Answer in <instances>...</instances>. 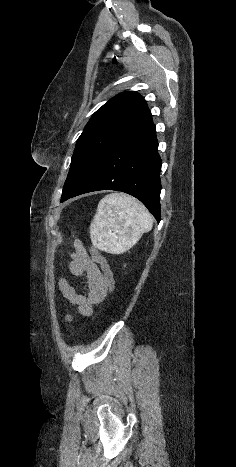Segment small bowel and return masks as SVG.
Instances as JSON below:
<instances>
[{
  "label": "small bowel",
  "instance_id": "1",
  "mask_svg": "<svg viewBox=\"0 0 236 467\" xmlns=\"http://www.w3.org/2000/svg\"><path fill=\"white\" fill-rule=\"evenodd\" d=\"M71 257L69 270L76 277H85L87 292L78 293L64 277L59 279L58 287L68 302L76 306L78 313L88 317L93 313V307L101 303L110 291L97 263L80 242H74Z\"/></svg>",
  "mask_w": 236,
  "mask_h": 467
}]
</instances>
